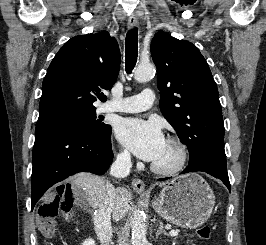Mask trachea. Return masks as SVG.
<instances>
[{
  "label": "trachea",
  "mask_w": 266,
  "mask_h": 245,
  "mask_svg": "<svg viewBox=\"0 0 266 245\" xmlns=\"http://www.w3.org/2000/svg\"><path fill=\"white\" fill-rule=\"evenodd\" d=\"M126 71L127 73H131L133 68L135 67L138 55V30L134 28L133 30H129L126 39Z\"/></svg>",
  "instance_id": "obj_1"
}]
</instances>
